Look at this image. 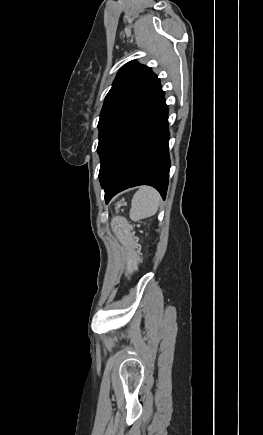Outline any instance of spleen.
<instances>
[{
    "instance_id": "obj_1",
    "label": "spleen",
    "mask_w": 263,
    "mask_h": 435,
    "mask_svg": "<svg viewBox=\"0 0 263 435\" xmlns=\"http://www.w3.org/2000/svg\"><path fill=\"white\" fill-rule=\"evenodd\" d=\"M160 199V194L154 188L140 187L132 199L130 218L137 221L155 215L159 208Z\"/></svg>"
}]
</instances>
